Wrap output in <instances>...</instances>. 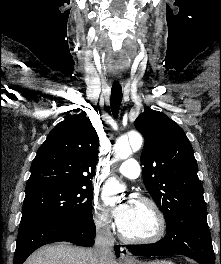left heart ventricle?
<instances>
[{"instance_id": "obj_1", "label": "left heart ventricle", "mask_w": 221, "mask_h": 264, "mask_svg": "<svg viewBox=\"0 0 221 264\" xmlns=\"http://www.w3.org/2000/svg\"><path fill=\"white\" fill-rule=\"evenodd\" d=\"M132 213L121 230L129 237L145 238L152 236L157 230V220L149 206L132 202Z\"/></svg>"}]
</instances>
